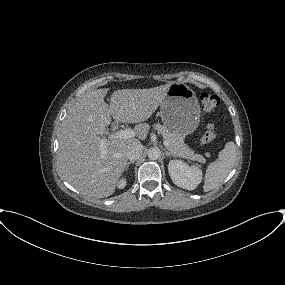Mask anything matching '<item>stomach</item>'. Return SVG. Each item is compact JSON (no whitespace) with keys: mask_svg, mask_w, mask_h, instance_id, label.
<instances>
[{"mask_svg":"<svg viewBox=\"0 0 285 285\" xmlns=\"http://www.w3.org/2000/svg\"><path fill=\"white\" fill-rule=\"evenodd\" d=\"M200 112L195 92L184 83L171 84L160 104L164 126L183 137L197 128Z\"/></svg>","mask_w":285,"mask_h":285,"instance_id":"obj_1","label":"stomach"}]
</instances>
